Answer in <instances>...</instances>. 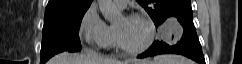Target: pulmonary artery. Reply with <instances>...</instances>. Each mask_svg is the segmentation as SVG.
<instances>
[{
    "instance_id": "obj_1",
    "label": "pulmonary artery",
    "mask_w": 242,
    "mask_h": 64,
    "mask_svg": "<svg viewBox=\"0 0 242 64\" xmlns=\"http://www.w3.org/2000/svg\"><path fill=\"white\" fill-rule=\"evenodd\" d=\"M114 3L120 7V8H124L127 3H128V0H114Z\"/></svg>"
}]
</instances>
